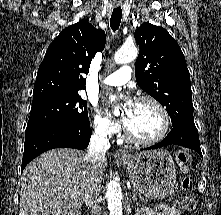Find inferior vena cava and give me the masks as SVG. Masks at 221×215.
Segmentation results:
<instances>
[{
    "label": "inferior vena cava",
    "mask_w": 221,
    "mask_h": 215,
    "mask_svg": "<svg viewBox=\"0 0 221 215\" xmlns=\"http://www.w3.org/2000/svg\"><path fill=\"white\" fill-rule=\"evenodd\" d=\"M110 143L107 138V132L104 129L97 128L90 140V144L85 156L92 165V177L89 180L85 193V204L90 209L91 215H101V207L98 204L100 195V180L98 177L99 166L105 158Z\"/></svg>",
    "instance_id": "1"
}]
</instances>
